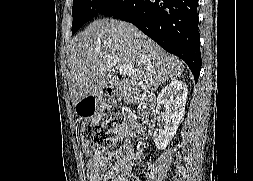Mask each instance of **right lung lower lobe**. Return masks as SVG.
I'll list each match as a JSON object with an SVG mask.
<instances>
[{
	"label": "right lung lower lobe",
	"instance_id": "98d812e1",
	"mask_svg": "<svg viewBox=\"0 0 253 181\" xmlns=\"http://www.w3.org/2000/svg\"><path fill=\"white\" fill-rule=\"evenodd\" d=\"M198 0H129L111 16L131 22L186 62L197 82L201 70Z\"/></svg>",
	"mask_w": 253,
	"mask_h": 181
}]
</instances>
